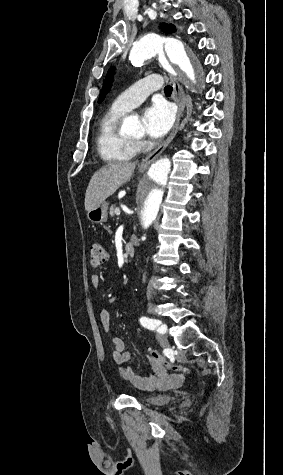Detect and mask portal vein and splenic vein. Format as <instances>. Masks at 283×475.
<instances>
[{
	"instance_id": "18ae733b",
	"label": "portal vein and splenic vein",
	"mask_w": 283,
	"mask_h": 475,
	"mask_svg": "<svg viewBox=\"0 0 283 475\" xmlns=\"http://www.w3.org/2000/svg\"><path fill=\"white\" fill-rule=\"evenodd\" d=\"M115 212H116V216H119V214H120V208H117V210H115Z\"/></svg>"
}]
</instances>
